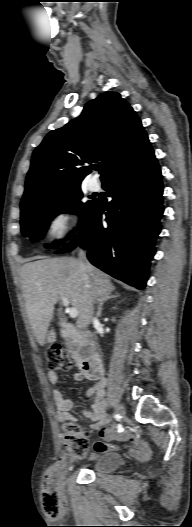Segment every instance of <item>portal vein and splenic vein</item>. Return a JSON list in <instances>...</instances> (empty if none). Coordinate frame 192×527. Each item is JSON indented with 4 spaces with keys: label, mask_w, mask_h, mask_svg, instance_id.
Here are the masks:
<instances>
[{
    "label": "portal vein and splenic vein",
    "mask_w": 192,
    "mask_h": 527,
    "mask_svg": "<svg viewBox=\"0 0 192 527\" xmlns=\"http://www.w3.org/2000/svg\"><path fill=\"white\" fill-rule=\"evenodd\" d=\"M62 303L67 308L66 311L69 313L70 317L76 318L78 316V311L74 307L69 308V300L66 297H62Z\"/></svg>",
    "instance_id": "obj_1"
}]
</instances>
